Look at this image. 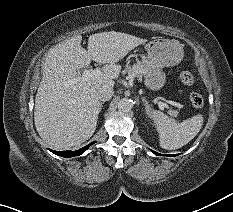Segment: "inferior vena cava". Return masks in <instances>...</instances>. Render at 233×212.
I'll return each instance as SVG.
<instances>
[{
  "mask_svg": "<svg viewBox=\"0 0 233 212\" xmlns=\"http://www.w3.org/2000/svg\"><path fill=\"white\" fill-rule=\"evenodd\" d=\"M113 88L109 85H102L97 88L96 96L100 101H108L113 96Z\"/></svg>",
  "mask_w": 233,
  "mask_h": 212,
  "instance_id": "602c4592",
  "label": "inferior vena cava"
}]
</instances>
